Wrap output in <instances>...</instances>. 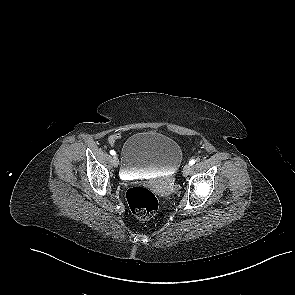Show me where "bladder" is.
<instances>
[{
	"mask_svg": "<svg viewBox=\"0 0 295 295\" xmlns=\"http://www.w3.org/2000/svg\"><path fill=\"white\" fill-rule=\"evenodd\" d=\"M182 150L173 139L155 131L139 132L124 143L121 174L134 177L144 173H175L182 163Z\"/></svg>",
	"mask_w": 295,
	"mask_h": 295,
	"instance_id": "obj_1",
	"label": "bladder"
}]
</instances>
